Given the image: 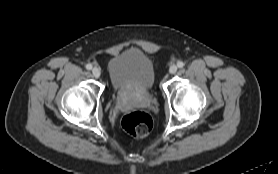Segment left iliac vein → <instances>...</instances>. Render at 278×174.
<instances>
[{
    "label": "left iliac vein",
    "mask_w": 278,
    "mask_h": 174,
    "mask_svg": "<svg viewBox=\"0 0 278 174\" xmlns=\"http://www.w3.org/2000/svg\"><path fill=\"white\" fill-rule=\"evenodd\" d=\"M177 70H178L177 66L176 65H172L169 68V73L170 74H175L177 72Z\"/></svg>",
    "instance_id": "1"
}]
</instances>
